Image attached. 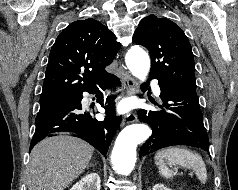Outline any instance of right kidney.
<instances>
[{"label": "right kidney", "mask_w": 238, "mask_h": 190, "mask_svg": "<svg viewBox=\"0 0 238 190\" xmlns=\"http://www.w3.org/2000/svg\"><path fill=\"white\" fill-rule=\"evenodd\" d=\"M100 176L90 173L77 182L70 190H100Z\"/></svg>", "instance_id": "ca27d5eb"}]
</instances>
